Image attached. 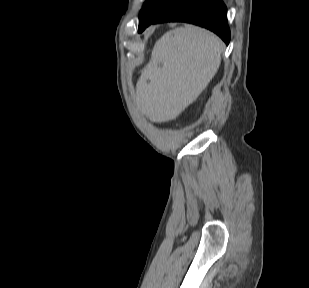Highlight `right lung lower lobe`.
<instances>
[{
  "label": "right lung lower lobe",
  "mask_w": 309,
  "mask_h": 288,
  "mask_svg": "<svg viewBox=\"0 0 309 288\" xmlns=\"http://www.w3.org/2000/svg\"><path fill=\"white\" fill-rule=\"evenodd\" d=\"M171 21L188 22L205 27L220 36L227 45L229 44L227 9L221 0H181L160 14L151 24ZM142 31L144 29L138 32Z\"/></svg>",
  "instance_id": "right-lung-lower-lobe-1"
}]
</instances>
